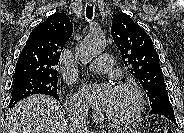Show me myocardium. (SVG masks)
Wrapping results in <instances>:
<instances>
[{
    "label": "myocardium",
    "mask_w": 184,
    "mask_h": 133,
    "mask_svg": "<svg viewBox=\"0 0 184 133\" xmlns=\"http://www.w3.org/2000/svg\"><path fill=\"white\" fill-rule=\"evenodd\" d=\"M117 89L130 91L135 99L134 110L122 118H113L105 115V119L117 126H125L135 122L143 113L145 108V100L139 86L133 81L121 82L116 86Z\"/></svg>",
    "instance_id": "obj_1"
}]
</instances>
